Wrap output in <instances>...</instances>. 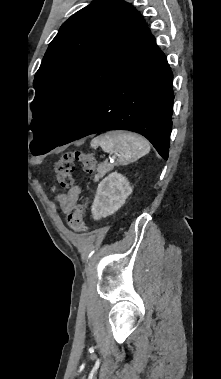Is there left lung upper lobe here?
I'll list each match as a JSON object with an SVG mask.
<instances>
[{"instance_id": "obj_1", "label": "left lung upper lobe", "mask_w": 221, "mask_h": 379, "mask_svg": "<svg viewBox=\"0 0 221 379\" xmlns=\"http://www.w3.org/2000/svg\"><path fill=\"white\" fill-rule=\"evenodd\" d=\"M151 36L123 0H95L65 21L34 79L32 154L55 148Z\"/></svg>"}]
</instances>
